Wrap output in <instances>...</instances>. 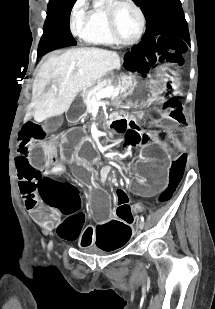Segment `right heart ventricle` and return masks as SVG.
Listing matches in <instances>:
<instances>
[{
  "label": "right heart ventricle",
  "instance_id": "right-heart-ventricle-1",
  "mask_svg": "<svg viewBox=\"0 0 215 309\" xmlns=\"http://www.w3.org/2000/svg\"><path fill=\"white\" fill-rule=\"evenodd\" d=\"M81 29L85 38H89L90 42H111L104 14H87V19L81 20Z\"/></svg>",
  "mask_w": 215,
  "mask_h": 309
}]
</instances>
